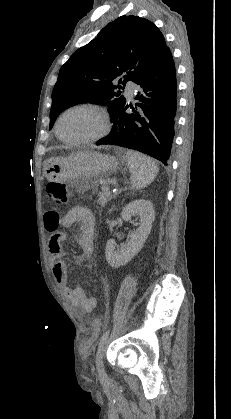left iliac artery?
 <instances>
[{
	"instance_id": "obj_1",
	"label": "left iliac artery",
	"mask_w": 231,
	"mask_h": 419,
	"mask_svg": "<svg viewBox=\"0 0 231 419\" xmlns=\"http://www.w3.org/2000/svg\"><path fill=\"white\" fill-rule=\"evenodd\" d=\"M110 330H107L99 341V349H101L109 336Z\"/></svg>"
}]
</instances>
